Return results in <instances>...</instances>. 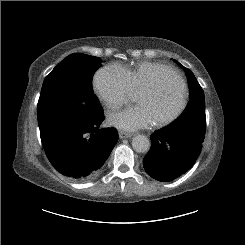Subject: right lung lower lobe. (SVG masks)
<instances>
[{
    "instance_id": "1",
    "label": "right lung lower lobe",
    "mask_w": 245,
    "mask_h": 245,
    "mask_svg": "<svg viewBox=\"0 0 245 245\" xmlns=\"http://www.w3.org/2000/svg\"><path fill=\"white\" fill-rule=\"evenodd\" d=\"M103 119L102 112L84 124L60 126L41 136L45 153L57 171L77 181L100 173L118 141L115 129H98Z\"/></svg>"
}]
</instances>
